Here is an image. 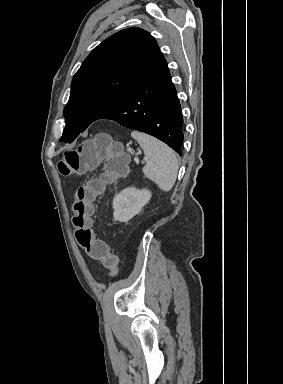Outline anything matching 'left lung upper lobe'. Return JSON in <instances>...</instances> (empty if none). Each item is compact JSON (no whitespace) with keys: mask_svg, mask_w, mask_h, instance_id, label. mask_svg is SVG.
Masks as SVG:
<instances>
[{"mask_svg":"<svg viewBox=\"0 0 283 384\" xmlns=\"http://www.w3.org/2000/svg\"><path fill=\"white\" fill-rule=\"evenodd\" d=\"M163 60L155 39L140 28L125 29L104 40L73 77L60 141H74L92 122L120 104Z\"/></svg>","mask_w":283,"mask_h":384,"instance_id":"5c2ea615","label":"left lung upper lobe"}]
</instances>
